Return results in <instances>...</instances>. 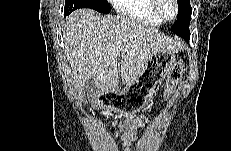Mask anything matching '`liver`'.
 I'll use <instances>...</instances> for the list:
<instances>
[{"instance_id": "6515ba94", "label": "liver", "mask_w": 231, "mask_h": 151, "mask_svg": "<svg viewBox=\"0 0 231 151\" xmlns=\"http://www.w3.org/2000/svg\"><path fill=\"white\" fill-rule=\"evenodd\" d=\"M63 37L76 87L81 90L94 78L100 94L118 87L119 72L122 83L128 86L152 54L159 50L177 52L182 47L180 40L170 39L155 28L112 15L100 17L89 9H77L68 16Z\"/></svg>"}]
</instances>
